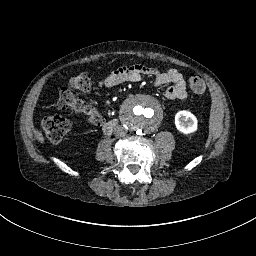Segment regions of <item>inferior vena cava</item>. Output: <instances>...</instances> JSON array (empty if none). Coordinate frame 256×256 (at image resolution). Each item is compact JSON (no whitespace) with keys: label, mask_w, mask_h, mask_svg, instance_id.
<instances>
[{"label":"inferior vena cava","mask_w":256,"mask_h":256,"mask_svg":"<svg viewBox=\"0 0 256 256\" xmlns=\"http://www.w3.org/2000/svg\"><path fill=\"white\" fill-rule=\"evenodd\" d=\"M127 133V129L122 125H117L114 127V134L119 137L125 136Z\"/></svg>","instance_id":"1"}]
</instances>
